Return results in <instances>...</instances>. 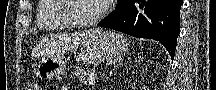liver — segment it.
I'll return each mask as SVG.
<instances>
[{
    "mask_svg": "<svg viewBox=\"0 0 216 90\" xmlns=\"http://www.w3.org/2000/svg\"><path fill=\"white\" fill-rule=\"evenodd\" d=\"M102 30H88V32H78V34H72L68 38V44L70 46H87L88 40H93L94 36L101 34Z\"/></svg>",
    "mask_w": 216,
    "mask_h": 90,
    "instance_id": "1",
    "label": "liver"
}]
</instances>
